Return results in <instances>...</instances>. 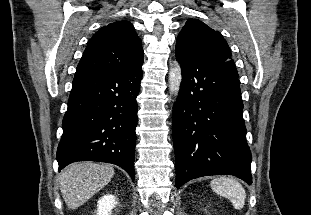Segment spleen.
Returning a JSON list of instances; mask_svg holds the SVG:
<instances>
[{
	"instance_id": "spleen-1",
	"label": "spleen",
	"mask_w": 311,
	"mask_h": 215,
	"mask_svg": "<svg viewBox=\"0 0 311 215\" xmlns=\"http://www.w3.org/2000/svg\"><path fill=\"white\" fill-rule=\"evenodd\" d=\"M210 187L214 192L228 198L235 209L244 207L246 192L243 186L235 179L229 177H218L211 181Z\"/></svg>"
}]
</instances>
